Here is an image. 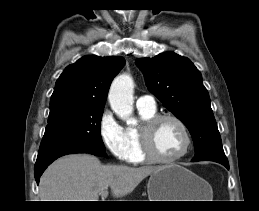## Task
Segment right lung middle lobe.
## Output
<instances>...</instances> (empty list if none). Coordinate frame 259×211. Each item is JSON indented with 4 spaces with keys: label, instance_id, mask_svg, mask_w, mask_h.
<instances>
[{
    "label": "right lung middle lobe",
    "instance_id": "right-lung-middle-lobe-1",
    "mask_svg": "<svg viewBox=\"0 0 259 211\" xmlns=\"http://www.w3.org/2000/svg\"><path fill=\"white\" fill-rule=\"evenodd\" d=\"M104 109H72L48 118L39 153L75 146L105 150L100 122Z\"/></svg>",
    "mask_w": 259,
    "mask_h": 211
}]
</instances>
